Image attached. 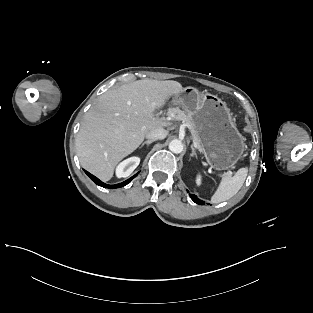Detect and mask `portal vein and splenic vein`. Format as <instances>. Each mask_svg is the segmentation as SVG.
Here are the masks:
<instances>
[{
  "mask_svg": "<svg viewBox=\"0 0 313 313\" xmlns=\"http://www.w3.org/2000/svg\"><path fill=\"white\" fill-rule=\"evenodd\" d=\"M227 174L232 175V172L229 171V172H227ZM221 175H224V174H221Z\"/></svg>",
  "mask_w": 313,
  "mask_h": 313,
  "instance_id": "portal-vein-and-splenic-vein-1",
  "label": "portal vein and splenic vein"
}]
</instances>
